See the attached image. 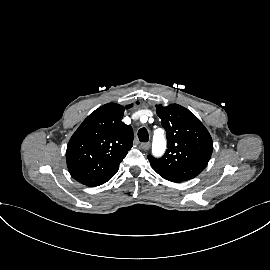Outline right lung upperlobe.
Returning a JSON list of instances; mask_svg holds the SVG:
<instances>
[{
  "label": "right lung upper lobe",
  "instance_id": "right-lung-upper-lobe-1",
  "mask_svg": "<svg viewBox=\"0 0 270 270\" xmlns=\"http://www.w3.org/2000/svg\"><path fill=\"white\" fill-rule=\"evenodd\" d=\"M122 106L108 103L92 112L71 137L66 161L71 176L83 185L95 187L110 180L132 147L133 130L122 122Z\"/></svg>",
  "mask_w": 270,
  "mask_h": 270
}]
</instances>
